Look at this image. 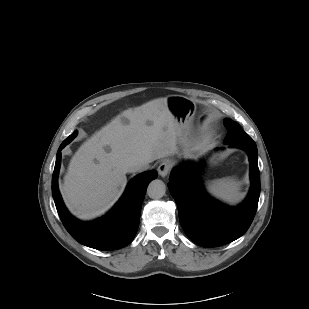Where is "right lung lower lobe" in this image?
<instances>
[{"label":"right lung lower lobe","mask_w":309,"mask_h":309,"mask_svg":"<svg viewBox=\"0 0 309 309\" xmlns=\"http://www.w3.org/2000/svg\"><path fill=\"white\" fill-rule=\"evenodd\" d=\"M66 144L64 140L58 149L52 176V195L63 225L75 240L94 249L116 250L127 246L134 239L139 226L146 186L158 173L152 170L135 177L111 212L94 222L84 223L67 211L58 190L61 150Z\"/></svg>","instance_id":"right-lung-lower-lobe-1"}]
</instances>
